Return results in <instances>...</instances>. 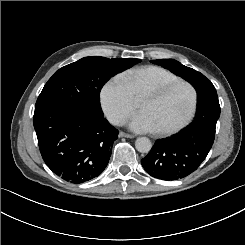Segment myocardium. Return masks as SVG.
Segmentation results:
<instances>
[{"mask_svg":"<svg viewBox=\"0 0 245 245\" xmlns=\"http://www.w3.org/2000/svg\"><path fill=\"white\" fill-rule=\"evenodd\" d=\"M179 86H186L190 93H191V105H190V109L187 113V115L185 116V118L179 122L177 125L169 128V129H163V130H157V133L161 136H170L173 135L177 132H179L181 129H183L184 127H186L191 120L193 119L195 112H196V108H197V92L196 89L194 88V86L184 80H180L177 82H173V83H169L166 84L164 86L159 85V84H151L148 85L147 87H145L143 89V91L141 92L138 101L152 95V94H157V99H163L164 97H166L170 92H172L174 89H176Z\"/></svg>","mask_w":245,"mask_h":245,"instance_id":"obj_1","label":"myocardium"}]
</instances>
